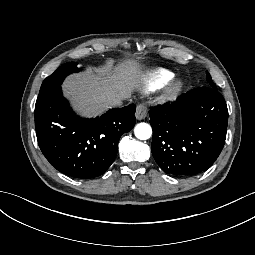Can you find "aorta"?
I'll use <instances>...</instances> for the list:
<instances>
[{"label":"aorta","instance_id":"aorta-1","mask_svg":"<svg viewBox=\"0 0 255 255\" xmlns=\"http://www.w3.org/2000/svg\"><path fill=\"white\" fill-rule=\"evenodd\" d=\"M134 133L138 139L147 140L152 135V129L147 123H139L135 126Z\"/></svg>","mask_w":255,"mask_h":255}]
</instances>
